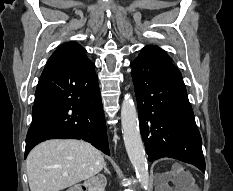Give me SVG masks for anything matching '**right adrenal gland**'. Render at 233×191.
I'll use <instances>...</instances> for the list:
<instances>
[{
	"instance_id": "right-adrenal-gland-1",
	"label": "right adrenal gland",
	"mask_w": 233,
	"mask_h": 191,
	"mask_svg": "<svg viewBox=\"0 0 233 191\" xmlns=\"http://www.w3.org/2000/svg\"><path fill=\"white\" fill-rule=\"evenodd\" d=\"M104 172L107 173L108 175H111L110 170H109V169L107 168V166H106V162H104ZM105 183L107 184L106 179H105Z\"/></svg>"
}]
</instances>
